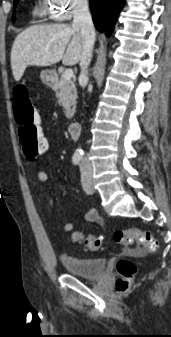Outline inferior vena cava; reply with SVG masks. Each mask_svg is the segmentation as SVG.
<instances>
[{"instance_id":"602c4592","label":"inferior vena cava","mask_w":171,"mask_h":337,"mask_svg":"<svg viewBox=\"0 0 171 337\" xmlns=\"http://www.w3.org/2000/svg\"><path fill=\"white\" fill-rule=\"evenodd\" d=\"M73 26L80 29L82 38L81 73L79 80L87 81L88 66L92 58L95 43V29L86 0H77L73 9Z\"/></svg>"}]
</instances>
